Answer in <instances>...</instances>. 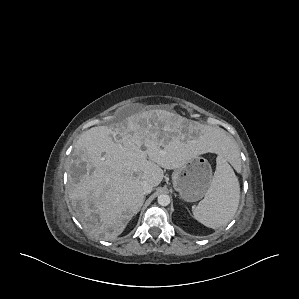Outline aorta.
Masks as SVG:
<instances>
[{"instance_id": "aorta-1", "label": "aorta", "mask_w": 299, "mask_h": 299, "mask_svg": "<svg viewBox=\"0 0 299 299\" xmlns=\"http://www.w3.org/2000/svg\"><path fill=\"white\" fill-rule=\"evenodd\" d=\"M158 204L161 206H167L170 204V196L167 194H161L157 198Z\"/></svg>"}]
</instances>
